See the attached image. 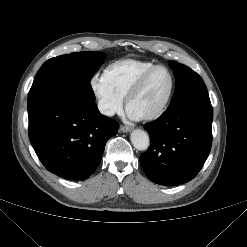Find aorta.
Listing matches in <instances>:
<instances>
[{
  "label": "aorta",
  "instance_id": "1",
  "mask_svg": "<svg viewBox=\"0 0 247 247\" xmlns=\"http://www.w3.org/2000/svg\"><path fill=\"white\" fill-rule=\"evenodd\" d=\"M130 140L132 145L140 151L147 150L150 145L149 135L140 129L132 131Z\"/></svg>",
  "mask_w": 247,
  "mask_h": 247
}]
</instances>
